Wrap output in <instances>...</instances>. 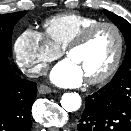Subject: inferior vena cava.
<instances>
[{"mask_svg": "<svg viewBox=\"0 0 131 131\" xmlns=\"http://www.w3.org/2000/svg\"><path fill=\"white\" fill-rule=\"evenodd\" d=\"M24 73L28 77H32L33 78V77H37L38 74H42L43 70L39 66H35V67L28 68V69H24Z\"/></svg>", "mask_w": 131, "mask_h": 131, "instance_id": "602c4592", "label": "inferior vena cava"}]
</instances>
